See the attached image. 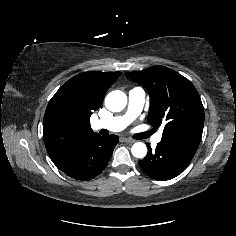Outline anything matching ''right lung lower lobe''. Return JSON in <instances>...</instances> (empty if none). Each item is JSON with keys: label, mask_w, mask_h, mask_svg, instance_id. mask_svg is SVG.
<instances>
[{"label": "right lung lower lobe", "mask_w": 236, "mask_h": 236, "mask_svg": "<svg viewBox=\"0 0 236 236\" xmlns=\"http://www.w3.org/2000/svg\"><path fill=\"white\" fill-rule=\"evenodd\" d=\"M118 141L117 135L101 137L98 134L56 166L76 180H90L106 167Z\"/></svg>", "instance_id": "obj_1"}]
</instances>
